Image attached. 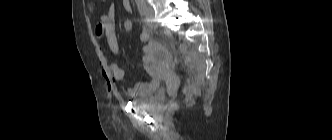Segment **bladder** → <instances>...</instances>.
Segmentation results:
<instances>
[{"mask_svg": "<svg viewBox=\"0 0 332 140\" xmlns=\"http://www.w3.org/2000/svg\"><path fill=\"white\" fill-rule=\"evenodd\" d=\"M146 84V91L131 99V102L135 106L139 107H149L152 106L163 99V93L160 89L159 80H151Z\"/></svg>", "mask_w": 332, "mask_h": 140, "instance_id": "bladder-1", "label": "bladder"}]
</instances>
